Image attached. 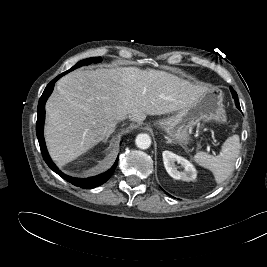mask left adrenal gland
Returning a JSON list of instances; mask_svg holds the SVG:
<instances>
[{
	"mask_svg": "<svg viewBox=\"0 0 267 267\" xmlns=\"http://www.w3.org/2000/svg\"><path fill=\"white\" fill-rule=\"evenodd\" d=\"M167 139V143H172V140L168 137H165Z\"/></svg>",
	"mask_w": 267,
	"mask_h": 267,
	"instance_id": "a2214340",
	"label": "left adrenal gland"
}]
</instances>
